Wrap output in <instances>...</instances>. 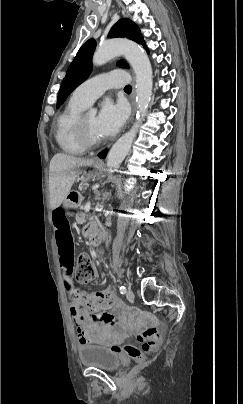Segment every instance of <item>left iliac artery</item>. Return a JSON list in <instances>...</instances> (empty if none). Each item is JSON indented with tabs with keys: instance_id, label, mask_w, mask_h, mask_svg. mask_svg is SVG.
<instances>
[{
	"instance_id": "obj_1",
	"label": "left iliac artery",
	"mask_w": 243,
	"mask_h": 404,
	"mask_svg": "<svg viewBox=\"0 0 243 404\" xmlns=\"http://www.w3.org/2000/svg\"><path fill=\"white\" fill-rule=\"evenodd\" d=\"M119 290H120V293H121V294H125V293H126V287H125V286H121V287L119 288Z\"/></svg>"
}]
</instances>
